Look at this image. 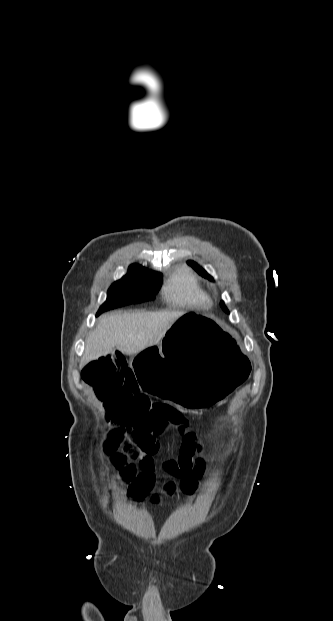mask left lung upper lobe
I'll use <instances>...</instances> for the list:
<instances>
[{
	"instance_id": "obj_1",
	"label": "left lung upper lobe",
	"mask_w": 333,
	"mask_h": 621,
	"mask_svg": "<svg viewBox=\"0 0 333 621\" xmlns=\"http://www.w3.org/2000/svg\"><path fill=\"white\" fill-rule=\"evenodd\" d=\"M188 264L190 266H192L202 277L207 278L211 281H213V277L210 276L202 267H200L196 262L189 260ZM222 309L229 314L228 309L226 308V306L224 305V302H222Z\"/></svg>"
}]
</instances>
